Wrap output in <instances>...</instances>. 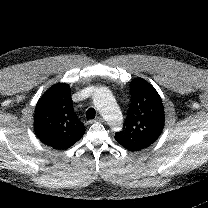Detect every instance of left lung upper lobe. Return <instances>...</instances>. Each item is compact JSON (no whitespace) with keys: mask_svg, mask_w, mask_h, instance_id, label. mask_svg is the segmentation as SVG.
I'll return each instance as SVG.
<instances>
[{"mask_svg":"<svg viewBox=\"0 0 208 208\" xmlns=\"http://www.w3.org/2000/svg\"><path fill=\"white\" fill-rule=\"evenodd\" d=\"M131 103L124 130L115 133L122 145L141 150L149 147L164 128V107L155 88L142 78L130 83Z\"/></svg>","mask_w":208,"mask_h":208,"instance_id":"obj_1","label":"left lung upper lobe"}]
</instances>
